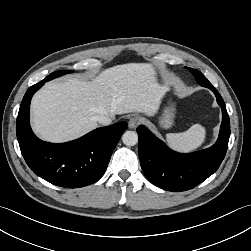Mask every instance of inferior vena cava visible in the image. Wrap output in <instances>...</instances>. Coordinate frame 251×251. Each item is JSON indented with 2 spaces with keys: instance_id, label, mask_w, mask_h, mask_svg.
I'll return each mask as SVG.
<instances>
[{
  "instance_id": "obj_1",
  "label": "inferior vena cava",
  "mask_w": 251,
  "mask_h": 251,
  "mask_svg": "<svg viewBox=\"0 0 251 251\" xmlns=\"http://www.w3.org/2000/svg\"><path fill=\"white\" fill-rule=\"evenodd\" d=\"M97 121L100 124L104 125V126H108V125H110L112 123L111 118L109 116H107V115H100V116H98L97 117Z\"/></svg>"
}]
</instances>
